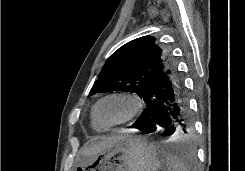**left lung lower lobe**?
<instances>
[{
  "instance_id": "0a47b994",
  "label": "left lung lower lobe",
  "mask_w": 245,
  "mask_h": 171,
  "mask_svg": "<svg viewBox=\"0 0 245 171\" xmlns=\"http://www.w3.org/2000/svg\"><path fill=\"white\" fill-rule=\"evenodd\" d=\"M146 109L131 126L141 134L165 128L166 135L186 133L189 124V105L183 80L174 65L168 62L164 71L146 88L143 97ZM187 159L190 155L185 154Z\"/></svg>"
}]
</instances>
